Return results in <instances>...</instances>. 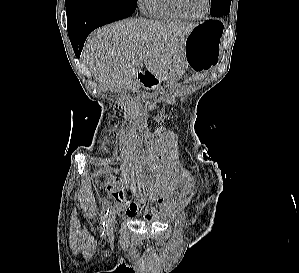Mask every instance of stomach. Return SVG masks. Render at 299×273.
I'll return each instance as SVG.
<instances>
[{"label":"stomach","instance_id":"0dacf381","mask_svg":"<svg viewBox=\"0 0 299 273\" xmlns=\"http://www.w3.org/2000/svg\"><path fill=\"white\" fill-rule=\"evenodd\" d=\"M223 24L210 20L198 24L185 41V64L199 72L210 71L220 57Z\"/></svg>","mask_w":299,"mask_h":273}]
</instances>
